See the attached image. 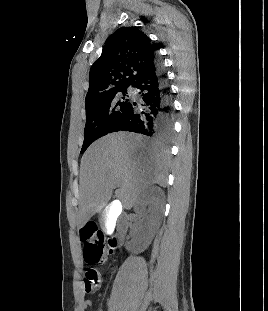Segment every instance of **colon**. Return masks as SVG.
Returning a JSON list of instances; mask_svg holds the SVG:
<instances>
[{
	"label": "colon",
	"mask_w": 268,
	"mask_h": 311,
	"mask_svg": "<svg viewBox=\"0 0 268 311\" xmlns=\"http://www.w3.org/2000/svg\"><path fill=\"white\" fill-rule=\"evenodd\" d=\"M83 244V256L87 264L96 265L103 263L112 249L106 248L101 232L94 223H87L80 230ZM100 286V277L97 271L88 270L85 274V287L87 292L96 291Z\"/></svg>",
	"instance_id": "1"
}]
</instances>
